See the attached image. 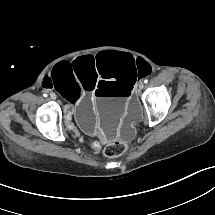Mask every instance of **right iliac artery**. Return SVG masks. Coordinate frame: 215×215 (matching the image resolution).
<instances>
[{"label": "right iliac artery", "mask_w": 215, "mask_h": 215, "mask_svg": "<svg viewBox=\"0 0 215 215\" xmlns=\"http://www.w3.org/2000/svg\"><path fill=\"white\" fill-rule=\"evenodd\" d=\"M43 96H44V97H47V94H46V93H44V94H43Z\"/></svg>", "instance_id": "1"}]
</instances>
